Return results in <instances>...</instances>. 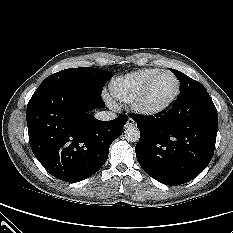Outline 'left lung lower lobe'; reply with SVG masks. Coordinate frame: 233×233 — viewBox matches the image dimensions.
I'll return each mask as SVG.
<instances>
[{
  "mask_svg": "<svg viewBox=\"0 0 233 233\" xmlns=\"http://www.w3.org/2000/svg\"><path fill=\"white\" fill-rule=\"evenodd\" d=\"M140 130L136 157L143 170L165 185L198 176L215 148L218 114L207 90L179 98L161 117L132 115Z\"/></svg>",
  "mask_w": 233,
  "mask_h": 233,
  "instance_id": "0a47b994",
  "label": "left lung lower lobe"
}]
</instances>
